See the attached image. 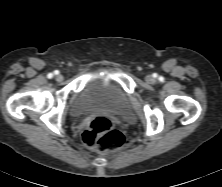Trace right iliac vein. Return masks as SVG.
Wrapping results in <instances>:
<instances>
[{
    "mask_svg": "<svg viewBox=\"0 0 222 187\" xmlns=\"http://www.w3.org/2000/svg\"><path fill=\"white\" fill-rule=\"evenodd\" d=\"M56 80H57L58 82H61V81L63 80V76H62L61 74H58V75L56 76Z\"/></svg>",
    "mask_w": 222,
    "mask_h": 187,
    "instance_id": "obj_1",
    "label": "right iliac vein"
}]
</instances>
